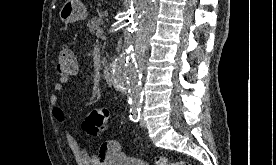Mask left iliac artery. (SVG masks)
<instances>
[{"label": "left iliac artery", "instance_id": "1", "mask_svg": "<svg viewBox=\"0 0 276 165\" xmlns=\"http://www.w3.org/2000/svg\"><path fill=\"white\" fill-rule=\"evenodd\" d=\"M141 102L140 100H129L130 104V119L133 122H138L140 119V111H141Z\"/></svg>", "mask_w": 276, "mask_h": 165}]
</instances>
